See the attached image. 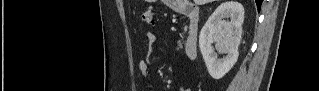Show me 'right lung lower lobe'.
<instances>
[{
    "mask_svg": "<svg viewBox=\"0 0 319 91\" xmlns=\"http://www.w3.org/2000/svg\"><path fill=\"white\" fill-rule=\"evenodd\" d=\"M255 1H256V5H257L258 10H260L262 0H255Z\"/></svg>",
    "mask_w": 319,
    "mask_h": 91,
    "instance_id": "obj_1",
    "label": "right lung lower lobe"
}]
</instances>
